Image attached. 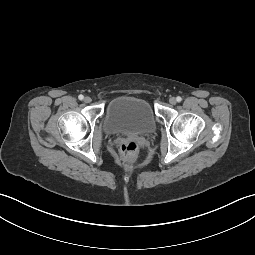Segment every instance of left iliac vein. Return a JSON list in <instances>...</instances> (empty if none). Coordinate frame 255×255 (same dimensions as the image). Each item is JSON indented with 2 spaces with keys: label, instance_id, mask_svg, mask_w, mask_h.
Returning a JSON list of instances; mask_svg holds the SVG:
<instances>
[{
  "label": "left iliac vein",
  "instance_id": "obj_1",
  "mask_svg": "<svg viewBox=\"0 0 255 255\" xmlns=\"http://www.w3.org/2000/svg\"><path fill=\"white\" fill-rule=\"evenodd\" d=\"M176 102H177V100H176V98H174V97H171V98L169 99V103L172 104V105H175Z\"/></svg>",
  "mask_w": 255,
  "mask_h": 255
}]
</instances>
